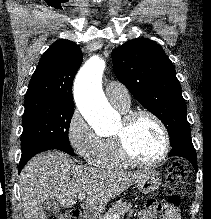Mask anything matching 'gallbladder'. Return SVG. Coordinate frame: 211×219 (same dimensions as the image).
<instances>
[{"label": "gallbladder", "mask_w": 211, "mask_h": 219, "mask_svg": "<svg viewBox=\"0 0 211 219\" xmlns=\"http://www.w3.org/2000/svg\"><path fill=\"white\" fill-rule=\"evenodd\" d=\"M43 209L46 213L58 214L61 211V206L55 199L48 198L43 203Z\"/></svg>", "instance_id": "1"}]
</instances>
